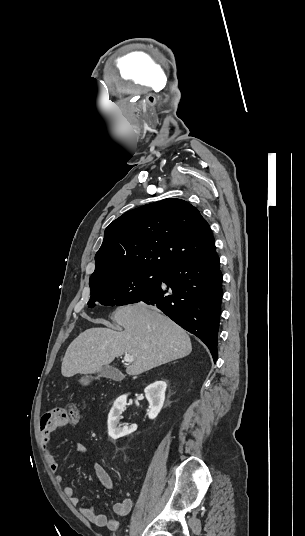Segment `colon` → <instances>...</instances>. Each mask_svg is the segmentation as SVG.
Wrapping results in <instances>:
<instances>
[{
	"label": "colon",
	"instance_id": "obj_1",
	"mask_svg": "<svg viewBox=\"0 0 305 536\" xmlns=\"http://www.w3.org/2000/svg\"><path fill=\"white\" fill-rule=\"evenodd\" d=\"M66 412L64 415H68L71 424H75L79 418V408L74 404H68L64 406Z\"/></svg>",
	"mask_w": 305,
	"mask_h": 536
}]
</instances>
